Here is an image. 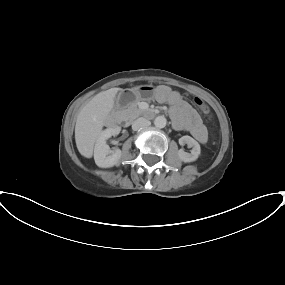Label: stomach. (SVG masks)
<instances>
[{
	"instance_id": "1",
	"label": "stomach",
	"mask_w": 285,
	"mask_h": 285,
	"mask_svg": "<svg viewBox=\"0 0 285 285\" xmlns=\"http://www.w3.org/2000/svg\"><path fill=\"white\" fill-rule=\"evenodd\" d=\"M154 92H155V88L151 85H142V86L134 87L130 91V95H131L130 101H134V100L149 101L153 98Z\"/></svg>"
}]
</instances>
